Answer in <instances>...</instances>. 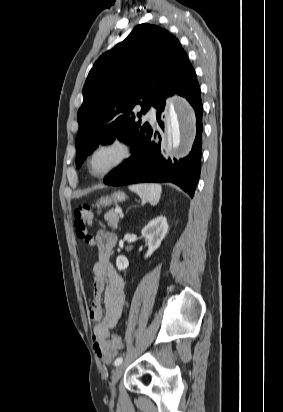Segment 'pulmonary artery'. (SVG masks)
Returning <instances> with one entry per match:
<instances>
[{
	"mask_svg": "<svg viewBox=\"0 0 283 412\" xmlns=\"http://www.w3.org/2000/svg\"><path fill=\"white\" fill-rule=\"evenodd\" d=\"M145 118L149 119L151 121H154L155 120V112L153 110L148 111L145 115Z\"/></svg>",
	"mask_w": 283,
	"mask_h": 412,
	"instance_id": "obj_1",
	"label": "pulmonary artery"
}]
</instances>
